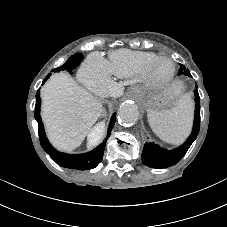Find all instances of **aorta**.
<instances>
[{"instance_id":"1","label":"aorta","mask_w":227,"mask_h":227,"mask_svg":"<svg viewBox=\"0 0 227 227\" xmlns=\"http://www.w3.org/2000/svg\"><path fill=\"white\" fill-rule=\"evenodd\" d=\"M138 118L139 112L133 104H124L118 111V121L123 126L128 127L134 125L138 121Z\"/></svg>"}]
</instances>
